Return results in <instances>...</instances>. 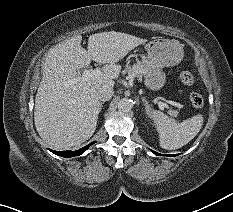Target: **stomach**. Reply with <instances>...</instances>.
<instances>
[{
    "instance_id": "obj_1",
    "label": "stomach",
    "mask_w": 233,
    "mask_h": 212,
    "mask_svg": "<svg viewBox=\"0 0 233 212\" xmlns=\"http://www.w3.org/2000/svg\"><path fill=\"white\" fill-rule=\"evenodd\" d=\"M147 55L142 57L141 64L146 71L144 83L150 90L161 89L165 84L164 67L177 65L184 56L182 44L175 40L159 38L146 44Z\"/></svg>"
}]
</instances>
